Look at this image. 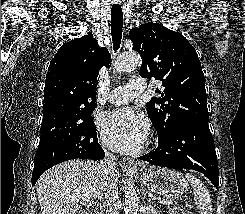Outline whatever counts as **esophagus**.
<instances>
[{
    "label": "esophagus",
    "mask_w": 245,
    "mask_h": 214,
    "mask_svg": "<svg viewBox=\"0 0 245 214\" xmlns=\"http://www.w3.org/2000/svg\"><path fill=\"white\" fill-rule=\"evenodd\" d=\"M123 163L128 164L130 166H140L141 165V163L135 162L133 159H124Z\"/></svg>",
    "instance_id": "obj_1"
}]
</instances>
